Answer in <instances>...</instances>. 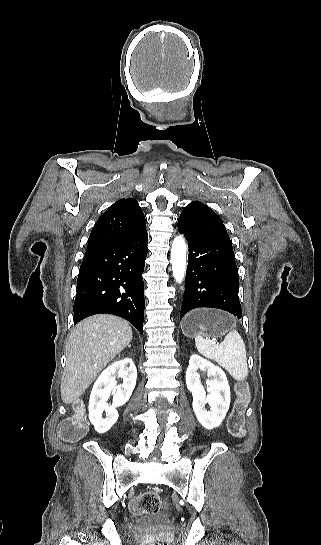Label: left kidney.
<instances>
[{"instance_id":"5707ae66","label":"left kidney","mask_w":321,"mask_h":545,"mask_svg":"<svg viewBox=\"0 0 321 545\" xmlns=\"http://www.w3.org/2000/svg\"><path fill=\"white\" fill-rule=\"evenodd\" d=\"M197 369L206 371L208 377H212L211 381H207V385H210V395L207 397ZM186 385L193 395V411L202 427L208 431L219 427L226 417L231 401L230 387L224 371L199 355H191L186 371ZM206 403H209L210 411L205 409Z\"/></svg>"}]
</instances>
